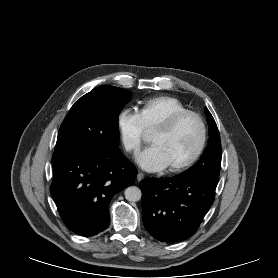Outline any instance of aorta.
<instances>
[{
    "label": "aorta",
    "mask_w": 278,
    "mask_h": 278,
    "mask_svg": "<svg viewBox=\"0 0 278 278\" xmlns=\"http://www.w3.org/2000/svg\"><path fill=\"white\" fill-rule=\"evenodd\" d=\"M124 194H125V198L129 202H137L141 199V196H142V192H141L140 188H138L136 186H130V187L126 188Z\"/></svg>",
    "instance_id": "aorta-1"
}]
</instances>
